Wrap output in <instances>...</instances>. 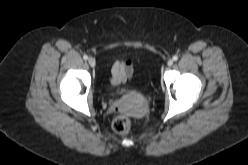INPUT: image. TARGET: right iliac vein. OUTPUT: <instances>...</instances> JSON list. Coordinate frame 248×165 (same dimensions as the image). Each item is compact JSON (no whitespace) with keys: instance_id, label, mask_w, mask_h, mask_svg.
Returning <instances> with one entry per match:
<instances>
[{"instance_id":"1","label":"right iliac vein","mask_w":248,"mask_h":165,"mask_svg":"<svg viewBox=\"0 0 248 165\" xmlns=\"http://www.w3.org/2000/svg\"><path fill=\"white\" fill-rule=\"evenodd\" d=\"M88 63H89V65H90L91 67H94L95 64H96L95 59L92 58V57H90V58L88 59Z\"/></svg>"}]
</instances>
